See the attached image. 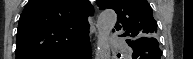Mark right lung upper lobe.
<instances>
[{
    "mask_svg": "<svg viewBox=\"0 0 193 59\" xmlns=\"http://www.w3.org/2000/svg\"><path fill=\"white\" fill-rule=\"evenodd\" d=\"M88 0H30L19 19L16 59H57L89 39Z\"/></svg>",
    "mask_w": 193,
    "mask_h": 59,
    "instance_id": "obj_1",
    "label": "right lung upper lobe"
}]
</instances>
